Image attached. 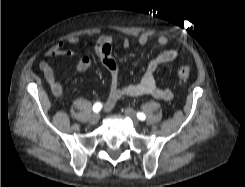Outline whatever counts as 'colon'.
<instances>
[{
    "label": "colon",
    "instance_id": "obj_1",
    "mask_svg": "<svg viewBox=\"0 0 245 187\" xmlns=\"http://www.w3.org/2000/svg\"><path fill=\"white\" fill-rule=\"evenodd\" d=\"M190 76V68L188 65L183 64L178 68L177 77L180 83H185Z\"/></svg>",
    "mask_w": 245,
    "mask_h": 187
}]
</instances>
